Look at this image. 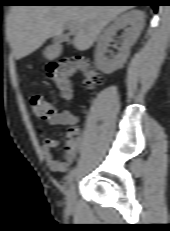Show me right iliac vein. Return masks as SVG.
I'll use <instances>...</instances> for the list:
<instances>
[{
    "label": "right iliac vein",
    "mask_w": 170,
    "mask_h": 231,
    "mask_svg": "<svg viewBox=\"0 0 170 231\" xmlns=\"http://www.w3.org/2000/svg\"><path fill=\"white\" fill-rule=\"evenodd\" d=\"M75 208V184L71 183L66 194V209L71 212Z\"/></svg>",
    "instance_id": "obj_1"
}]
</instances>
